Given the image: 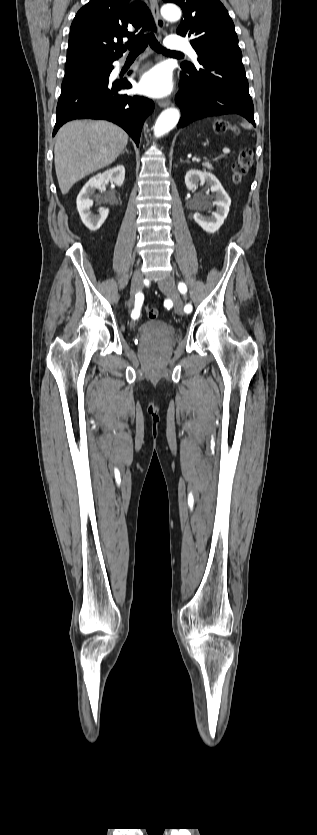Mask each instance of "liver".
Wrapping results in <instances>:
<instances>
[{"instance_id": "obj_1", "label": "liver", "mask_w": 317, "mask_h": 835, "mask_svg": "<svg viewBox=\"0 0 317 835\" xmlns=\"http://www.w3.org/2000/svg\"><path fill=\"white\" fill-rule=\"evenodd\" d=\"M128 142L119 126L99 121H72L56 135L54 161L63 195L81 178L116 160Z\"/></svg>"}]
</instances>
